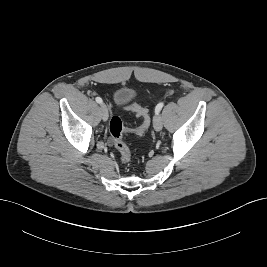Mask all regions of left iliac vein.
I'll list each match as a JSON object with an SVG mask.
<instances>
[{"label": "left iliac vein", "mask_w": 267, "mask_h": 267, "mask_svg": "<svg viewBox=\"0 0 267 267\" xmlns=\"http://www.w3.org/2000/svg\"><path fill=\"white\" fill-rule=\"evenodd\" d=\"M153 127L156 131H160L163 127L162 118L159 114H156L153 118Z\"/></svg>", "instance_id": "obj_1"}]
</instances>
